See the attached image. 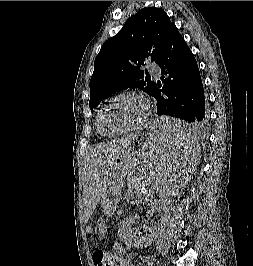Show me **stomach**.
Returning a JSON list of instances; mask_svg holds the SVG:
<instances>
[{
	"label": "stomach",
	"mask_w": 253,
	"mask_h": 266,
	"mask_svg": "<svg viewBox=\"0 0 253 266\" xmlns=\"http://www.w3.org/2000/svg\"><path fill=\"white\" fill-rule=\"evenodd\" d=\"M162 136L163 135L154 136L153 132L145 138L143 136H136L124 149H122L118 155L113 157L104 175L108 194L115 198L118 197L120 194L121 185L124 184L125 177L133 176V160H145L141 158V151L149 150L150 145H155V138H162ZM108 209V214L112 219V216L116 210V206L111 205ZM104 236L105 235H102V238H104Z\"/></svg>",
	"instance_id": "0dacf381"
}]
</instances>
